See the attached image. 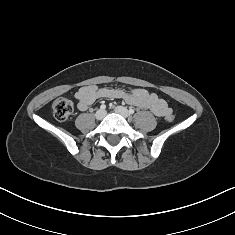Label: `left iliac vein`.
Returning <instances> with one entry per match:
<instances>
[{"label": "left iliac vein", "instance_id": "left-iliac-vein-1", "mask_svg": "<svg viewBox=\"0 0 235 235\" xmlns=\"http://www.w3.org/2000/svg\"><path fill=\"white\" fill-rule=\"evenodd\" d=\"M114 111L117 113V114H120L121 116H123L124 118H129V112L128 110L123 107V106H117L115 107Z\"/></svg>", "mask_w": 235, "mask_h": 235}]
</instances>
